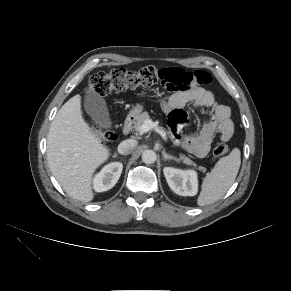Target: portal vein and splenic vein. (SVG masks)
I'll return each instance as SVG.
<instances>
[{
	"label": "portal vein and splenic vein",
	"mask_w": 291,
	"mask_h": 291,
	"mask_svg": "<svg viewBox=\"0 0 291 291\" xmlns=\"http://www.w3.org/2000/svg\"><path fill=\"white\" fill-rule=\"evenodd\" d=\"M152 129H154L156 132H158L164 140H167L166 132L163 129L158 128L150 119L146 120L142 124V126L140 127V133L143 134V133H146Z\"/></svg>",
	"instance_id": "18ae733b"
}]
</instances>
